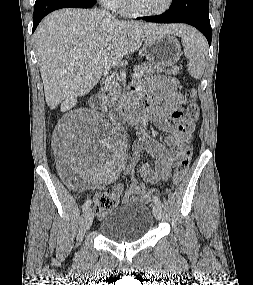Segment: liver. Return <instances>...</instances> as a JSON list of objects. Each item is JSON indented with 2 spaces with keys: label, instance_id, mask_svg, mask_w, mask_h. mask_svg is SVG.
Masks as SVG:
<instances>
[{
  "label": "liver",
  "instance_id": "obj_1",
  "mask_svg": "<svg viewBox=\"0 0 253 285\" xmlns=\"http://www.w3.org/2000/svg\"><path fill=\"white\" fill-rule=\"evenodd\" d=\"M189 27L109 19L97 9H61L45 17L34 33L36 55L47 105L84 96L102 73L147 37L160 33L181 36Z\"/></svg>",
  "mask_w": 253,
  "mask_h": 285
}]
</instances>
